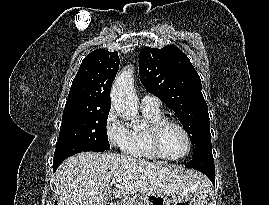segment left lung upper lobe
Listing matches in <instances>:
<instances>
[{
	"label": "left lung upper lobe",
	"instance_id": "obj_1",
	"mask_svg": "<svg viewBox=\"0 0 269 205\" xmlns=\"http://www.w3.org/2000/svg\"><path fill=\"white\" fill-rule=\"evenodd\" d=\"M140 80L177 115L194 146L193 156L211 146L208 107L201 80L189 58L176 46L140 52Z\"/></svg>",
	"mask_w": 269,
	"mask_h": 205
}]
</instances>
